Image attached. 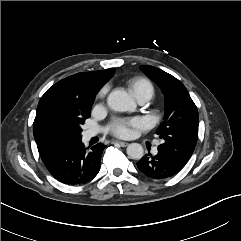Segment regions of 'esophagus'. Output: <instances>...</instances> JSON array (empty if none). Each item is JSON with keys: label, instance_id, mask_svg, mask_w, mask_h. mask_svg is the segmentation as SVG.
<instances>
[{"label": "esophagus", "instance_id": "34e87169", "mask_svg": "<svg viewBox=\"0 0 241 241\" xmlns=\"http://www.w3.org/2000/svg\"><path fill=\"white\" fill-rule=\"evenodd\" d=\"M117 143L121 146V147H126L128 145L127 142H122V141H117Z\"/></svg>", "mask_w": 241, "mask_h": 241}]
</instances>
